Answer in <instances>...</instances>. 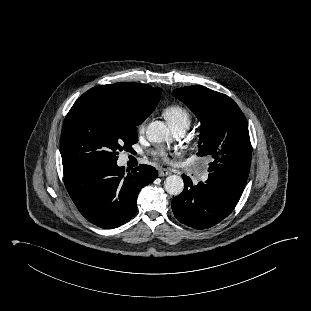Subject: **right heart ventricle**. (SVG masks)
I'll use <instances>...</instances> for the list:
<instances>
[{
    "instance_id": "e07e8e85",
    "label": "right heart ventricle",
    "mask_w": 311,
    "mask_h": 311,
    "mask_svg": "<svg viewBox=\"0 0 311 311\" xmlns=\"http://www.w3.org/2000/svg\"><path fill=\"white\" fill-rule=\"evenodd\" d=\"M163 116L172 129L179 126H186L188 128L191 122L190 112L178 104L165 107Z\"/></svg>"
}]
</instances>
